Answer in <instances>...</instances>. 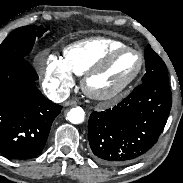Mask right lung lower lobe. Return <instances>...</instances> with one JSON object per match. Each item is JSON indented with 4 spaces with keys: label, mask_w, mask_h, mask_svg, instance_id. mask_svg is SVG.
Returning a JSON list of instances; mask_svg holds the SVG:
<instances>
[{
    "label": "right lung lower lobe",
    "mask_w": 183,
    "mask_h": 183,
    "mask_svg": "<svg viewBox=\"0 0 183 183\" xmlns=\"http://www.w3.org/2000/svg\"><path fill=\"white\" fill-rule=\"evenodd\" d=\"M37 79L26 59L0 63V154L9 159L39 155L62 110L42 95Z\"/></svg>",
    "instance_id": "1"
}]
</instances>
